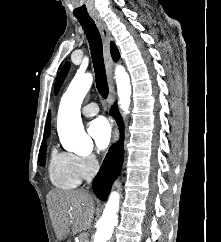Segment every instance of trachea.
Masks as SVG:
<instances>
[{
	"mask_svg": "<svg viewBox=\"0 0 221 242\" xmlns=\"http://www.w3.org/2000/svg\"><path fill=\"white\" fill-rule=\"evenodd\" d=\"M78 21L86 34L90 46L97 90L101 94V96L106 99L108 97L109 88L107 83L105 65L103 61V48L100 33L93 19L78 18Z\"/></svg>",
	"mask_w": 221,
	"mask_h": 242,
	"instance_id": "trachea-1",
	"label": "trachea"
}]
</instances>
